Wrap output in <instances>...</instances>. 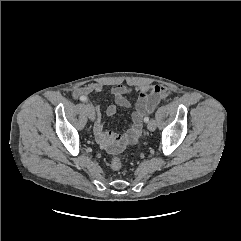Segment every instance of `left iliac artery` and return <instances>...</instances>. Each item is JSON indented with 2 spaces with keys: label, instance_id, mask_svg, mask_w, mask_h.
Segmentation results:
<instances>
[{
  "label": "left iliac artery",
  "instance_id": "44dca946",
  "mask_svg": "<svg viewBox=\"0 0 241 241\" xmlns=\"http://www.w3.org/2000/svg\"><path fill=\"white\" fill-rule=\"evenodd\" d=\"M144 121H145V122H149V117H145V118H144Z\"/></svg>",
  "mask_w": 241,
  "mask_h": 241
}]
</instances>
